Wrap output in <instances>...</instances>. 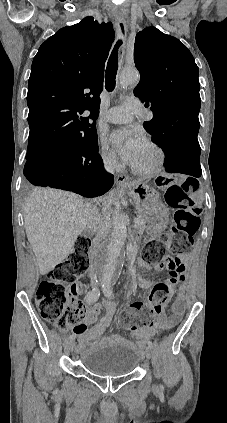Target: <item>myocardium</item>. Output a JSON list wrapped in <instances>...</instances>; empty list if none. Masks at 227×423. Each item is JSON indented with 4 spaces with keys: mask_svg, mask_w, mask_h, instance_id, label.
Here are the masks:
<instances>
[{
    "mask_svg": "<svg viewBox=\"0 0 227 423\" xmlns=\"http://www.w3.org/2000/svg\"><path fill=\"white\" fill-rule=\"evenodd\" d=\"M145 144L152 147L155 150L156 156H157L156 161L151 167L146 169H141V168L132 166L131 167L132 171L141 176L156 175L163 171L165 164L167 162V153L164 147L153 139L146 140Z\"/></svg>",
    "mask_w": 227,
    "mask_h": 423,
    "instance_id": "myocardium-1",
    "label": "myocardium"
}]
</instances>
